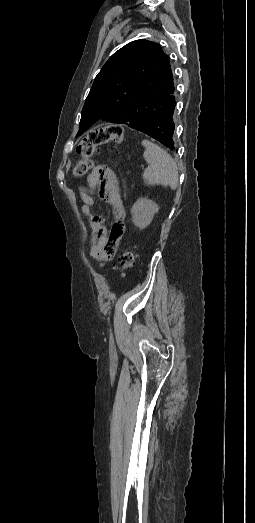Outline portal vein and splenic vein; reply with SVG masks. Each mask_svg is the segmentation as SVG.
<instances>
[{
  "instance_id": "obj_1",
  "label": "portal vein and splenic vein",
  "mask_w": 255,
  "mask_h": 523,
  "mask_svg": "<svg viewBox=\"0 0 255 523\" xmlns=\"http://www.w3.org/2000/svg\"><path fill=\"white\" fill-rule=\"evenodd\" d=\"M143 165H146V162H143Z\"/></svg>"
}]
</instances>
